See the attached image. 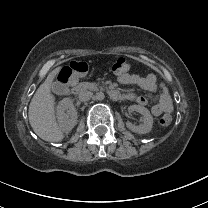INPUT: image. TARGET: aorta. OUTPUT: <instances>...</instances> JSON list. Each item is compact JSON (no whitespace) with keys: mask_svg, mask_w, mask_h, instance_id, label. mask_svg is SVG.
<instances>
[{"mask_svg":"<svg viewBox=\"0 0 208 208\" xmlns=\"http://www.w3.org/2000/svg\"><path fill=\"white\" fill-rule=\"evenodd\" d=\"M95 99L97 102L102 103L106 100V95L102 92L96 94Z\"/></svg>","mask_w":208,"mask_h":208,"instance_id":"obj_1","label":"aorta"}]
</instances>
